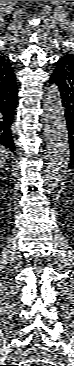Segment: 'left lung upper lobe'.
<instances>
[{
    "label": "left lung upper lobe",
    "instance_id": "5c2ea615",
    "mask_svg": "<svg viewBox=\"0 0 74 366\" xmlns=\"http://www.w3.org/2000/svg\"><path fill=\"white\" fill-rule=\"evenodd\" d=\"M66 56H70V57H73L74 58V54H69V55H66Z\"/></svg>",
    "mask_w": 74,
    "mask_h": 366
}]
</instances>
